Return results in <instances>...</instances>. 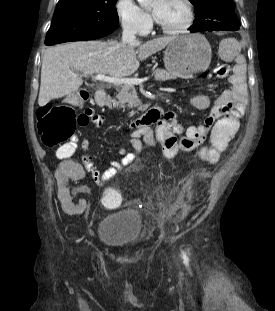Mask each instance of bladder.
<instances>
[{"instance_id": "1", "label": "bladder", "mask_w": 275, "mask_h": 311, "mask_svg": "<svg viewBox=\"0 0 275 311\" xmlns=\"http://www.w3.org/2000/svg\"><path fill=\"white\" fill-rule=\"evenodd\" d=\"M141 215L135 210H116L104 216L98 223L97 238L112 246H135L142 237Z\"/></svg>"}]
</instances>
